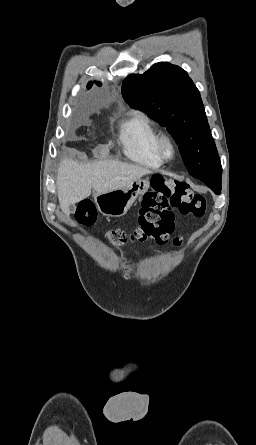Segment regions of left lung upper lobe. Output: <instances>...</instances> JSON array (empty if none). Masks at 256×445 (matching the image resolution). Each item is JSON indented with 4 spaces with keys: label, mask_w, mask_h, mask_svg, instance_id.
Returning a JSON list of instances; mask_svg holds the SVG:
<instances>
[{
    "label": "left lung upper lobe",
    "mask_w": 256,
    "mask_h": 445,
    "mask_svg": "<svg viewBox=\"0 0 256 445\" xmlns=\"http://www.w3.org/2000/svg\"><path fill=\"white\" fill-rule=\"evenodd\" d=\"M122 94L131 107L167 127L189 173H222L200 93L186 71L156 63L142 75L127 77Z\"/></svg>",
    "instance_id": "5c2ea615"
}]
</instances>
